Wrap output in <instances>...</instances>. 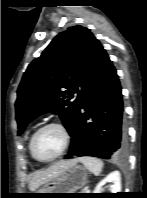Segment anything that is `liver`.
Listing matches in <instances>:
<instances>
[{
	"instance_id": "6515ba94",
	"label": "liver",
	"mask_w": 147,
	"mask_h": 198,
	"mask_svg": "<svg viewBox=\"0 0 147 198\" xmlns=\"http://www.w3.org/2000/svg\"><path fill=\"white\" fill-rule=\"evenodd\" d=\"M77 164V159H72L68 161H59L50 166L46 170H40L33 174L31 181L29 182V189L35 191L38 187L46 184L53 178L57 177L59 174L64 172L66 169Z\"/></svg>"
}]
</instances>
